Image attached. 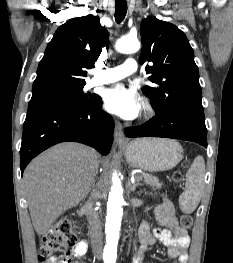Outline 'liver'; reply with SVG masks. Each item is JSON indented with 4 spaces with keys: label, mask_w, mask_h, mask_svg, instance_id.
<instances>
[{
    "label": "liver",
    "mask_w": 233,
    "mask_h": 263,
    "mask_svg": "<svg viewBox=\"0 0 233 263\" xmlns=\"http://www.w3.org/2000/svg\"><path fill=\"white\" fill-rule=\"evenodd\" d=\"M101 161L93 148L74 142L57 144L31 161L23 186L38 235L87 197Z\"/></svg>",
    "instance_id": "6515ba94"
}]
</instances>
